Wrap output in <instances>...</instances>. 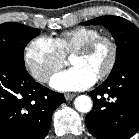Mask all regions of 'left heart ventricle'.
<instances>
[{
	"label": "left heart ventricle",
	"instance_id": "obj_1",
	"mask_svg": "<svg viewBox=\"0 0 139 139\" xmlns=\"http://www.w3.org/2000/svg\"><path fill=\"white\" fill-rule=\"evenodd\" d=\"M109 57V46L105 43H102L95 50L88 54L73 55L70 62L73 66L83 67L98 77V75L106 67Z\"/></svg>",
	"mask_w": 139,
	"mask_h": 139
}]
</instances>
